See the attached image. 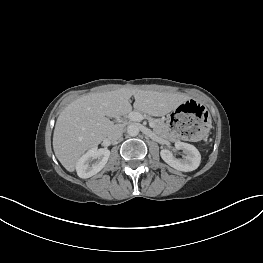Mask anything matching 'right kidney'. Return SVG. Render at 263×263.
Segmentation results:
<instances>
[{
    "label": "right kidney",
    "mask_w": 263,
    "mask_h": 263,
    "mask_svg": "<svg viewBox=\"0 0 263 263\" xmlns=\"http://www.w3.org/2000/svg\"><path fill=\"white\" fill-rule=\"evenodd\" d=\"M109 156L110 151L106 148H91L78 159L75 166L77 175L84 179L92 177L104 168Z\"/></svg>",
    "instance_id": "obj_1"
}]
</instances>
